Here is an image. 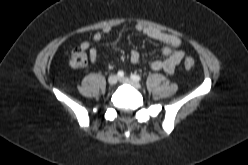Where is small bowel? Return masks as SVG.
Returning a JSON list of instances; mask_svg holds the SVG:
<instances>
[{
  "mask_svg": "<svg viewBox=\"0 0 248 165\" xmlns=\"http://www.w3.org/2000/svg\"><path fill=\"white\" fill-rule=\"evenodd\" d=\"M136 30L148 38L163 44V55L165 58L162 60L152 61L151 68L157 71L163 70L169 74L173 73L185 55L182 48L181 39L176 35L162 32L153 27L137 25ZM109 31L110 29L108 27L102 28L93 35V41H100L103 36L109 33ZM80 48L88 51L90 62L95 64L97 61L98 52L96 48L91 47V42L89 40L81 41ZM129 60L134 65L138 64L140 61L139 52L132 50L129 54Z\"/></svg>",
  "mask_w": 248,
  "mask_h": 165,
  "instance_id": "1",
  "label": "small bowel"
}]
</instances>
